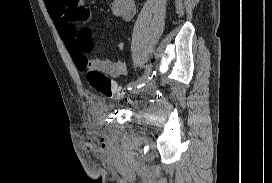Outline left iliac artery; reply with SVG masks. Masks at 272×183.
I'll return each instance as SVG.
<instances>
[{"instance_id":"1","label":"left iliac artery","mask_w":272,"mask_h":183,"mask_svg":"<svg viewBox=\"0 0 272 183\" xmlns=\"http://www.w3.org/2000/svg\"><path fill=\"white\" fill-rule=\"evenodd\" d=\"M154 74L155 73L152 72L151 67L147 65L145 67V71L143 75L136 81L130 82L128 84V90H132V88H138V89L142 88L145 85V82L147 80H150Z\"/></svg>"}]
</instances>
